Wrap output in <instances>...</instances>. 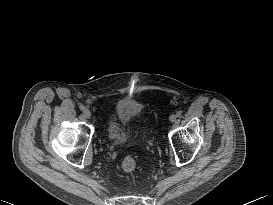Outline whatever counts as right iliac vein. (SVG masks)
<instances>
[{
	"label": "right iliac vein",
	"mask_w": 273,
	"mask_h": 205,
	"mask_svg": "<svg viewBox=\"0 0 273 205\" xmlns=\"http://www.w3.org/2000/svg\"><path fill=\"white\" fill-rule=\"evenodd\" d=\"M83 115H84V117H85L86 119H90V118H91V112H90V110H89V109H85V110L83 111Z\"/></svg>",
	"instance_id": "obj_1"
}]
</instances>
